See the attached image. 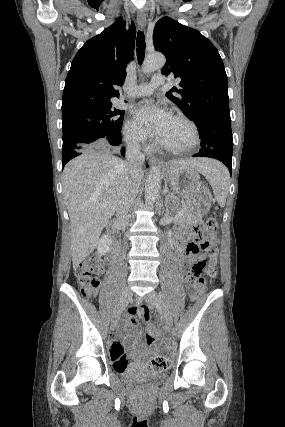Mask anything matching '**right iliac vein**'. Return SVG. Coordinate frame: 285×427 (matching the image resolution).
<instances>
[{
    "label": "right iliac vein",
    "instance_id": "1",
    "mask_svg": "<svg viewBox=\"0 0 285 427\" xmlns=\"http://www.w3.org/2000/svg\"><path fill=\"white\" fill-rule=\"evenodd\" d=\"M132 296V291L126 287L123 292H122V297H121V306L120 308L116 311V313L114 314L113 318H112V323H111V327L114 329L120 319V316L123 312V309L126 307V305L128 304L130 298Z\"/></svg>",
    "mask_w": 285,
    "mask_h": 427
}]
</instances>
